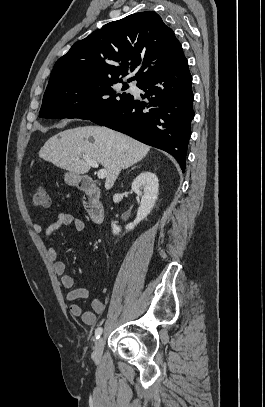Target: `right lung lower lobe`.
<instances>
[{"instance_id": "1", "label": "right lung lower lobe", "mask_w": 265, "mask_h": 407, "mask_svg": "<svg viewBox=\"0 0 265 407\" xmlns=\"http://www.w3.org/2000/svg\"><path fill=\"white\" fill-rule=\"evenodd\" d=\"M192 76L182 54L167 68L143 79L137 86L145 92L91 121L125 133L171 154L185 170L186 153L194 118Z\"/></svg>"}]
</instances>
